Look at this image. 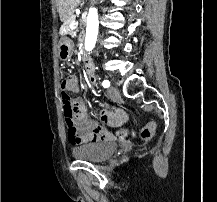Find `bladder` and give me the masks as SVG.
<instances>
[{
  "instance_id": "1",
  "label": "bladder",
  "mask_w": 217,
  "mask_h": 202,
  "mask_svg": "<svg viewBox=\"0 0 217 202\" xmlns=\"http://www.w3.org/2000/svg\"><path fill=\"white\" fill-rule=\"evenodd\" d=\"M117 143L103 141L99 143L85 144L82 148L73 150V156L87 162L101 163L116 151Z\"/></svg>"
}]
</instances>
